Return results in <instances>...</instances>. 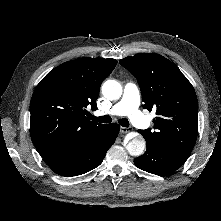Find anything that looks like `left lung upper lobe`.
I'll list each match as a JSON object with an SVG mask.
<instances>
[{"label": "left lung upper lobe", "instance_id": "1", "mask_svg": "<svg viewBox=\"0 0 221 221\" xmlns=\"http://www.w3.org/2000/svg\"><path fill=\"white\" fill-rule=\"evenodd\" d=\"M119 63L137 79L143 108L156 111L153 129L139 130L146 145L189 156L198 134V101L188 79L159 54H136Z\"/></svg>", "mask_w": 221, "mask_h": 221}]
</instances>
